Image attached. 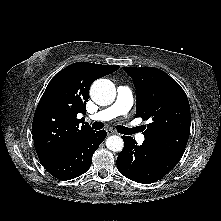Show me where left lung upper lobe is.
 <instances>
[{
	"label": "left lung upper lobe",
	"mask_w": 221,
	"mask_h": 221,
	"mask_svg": "<svg viewBox=\"0 0 221 221\" xmlns=\"http://www.w3.org/2000/svg\"><path fill=\"white\" fill-rule=\"evenodd\" d=\"M136 88V117L150 120L144 142L179 160L185 150L191 124L190 105L181 86L155 68L123 67Z\"/></svg>",
	"instance_id": "1"
}]
</instances>
